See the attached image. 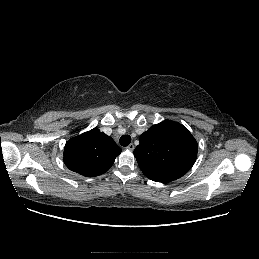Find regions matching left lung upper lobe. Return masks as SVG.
Returning <instances> with one entry per match:
<instances>
[{
    "label": "left lung upper lobe",
    "mask_w": 259,
    "mask_h": 259,
    "mask_svg": "<svg viewBox=\"0 0 259 259\" xmlns=\"http://www.w3.org/2000/svg\"><path fill=\"white\" fill-rule=\"evenodd\" d=\"M197 150V142L187 128L166 120L144 132L133 153L146 177L156 182H170L191 169Z\"/></svg>",
    "instance_id": "5c2ea615"
}]
</instances>
